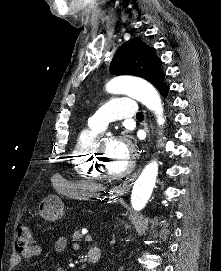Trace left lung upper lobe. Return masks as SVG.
Instances as JSON below:
<instances>
[{"mask_svg": "<svg viewBox=\"0 0 221 271\" xmlns=\"http://www.w3.org/2000/svg\"><path fill=\"white\" fill-rule=\"evenodd\" d=\"M161 60L153 48L139 38L124 43L115 53L110 72L115 75H134L151 82L157 89L166 85L160 69Z\"/></svg>", "mask_w": 221, "mask_h": 271, "instance_id": "5c2ea615", "label": "left lung upper lobe"}]
</instances>
